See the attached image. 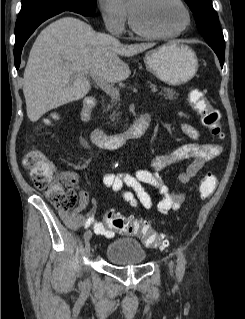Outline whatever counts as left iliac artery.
<instances>
[{
    "instance_id": "obj_1",
    "label": "left iliac artery",
    "mask_w": 245,
    "mask_h": 319,
    "mask_svg": "<svg viewBox=\"0 0 245 319\" xmlns=\"http://www.w3.org/2000/svg\"><path fill=\"white\" fill-rule=\"evenodd\" d=\"M177 276L178 277H183L184 272H185V264H186V260L184 257V254L182 253V251L180 249L177 250Z\"/></svg>"
}]
</instances>
